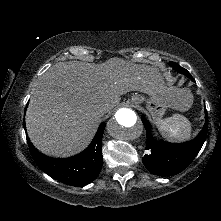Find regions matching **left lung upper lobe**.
I'll return each mask as SVG.
<instances>
[{
  "label": "left lung upper lobe",
  "mask_w": 221,
  "mask_h": 221,
  "mask_svg": "<svg viewBox=\"0 0 221 221\" xmlns=\"http://www.w3.org/2000/svg\"><path fill=\"white\" fill-rule=\"evenodd\" d=\"M172 66L179 72L183 73V71L185 70L184 68H182L179 64L175 63V62H171Z\"/></svg>",
  "instance_id": "left-lung-upper-lobe-1"
}]
</instances>
